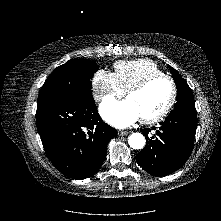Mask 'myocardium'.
Listing matches in <instances>:
<instances>
[{
  "label": "myocardium",
  "instance_id": "myocardium-1",
  "mask_svg": "<svg viewBox=\"0 0 221 221\" xmlns=\"http://www.w3.org/2000/svg\"><path fill=\"white\" fill-rule=\"evenodd\" d=\"M158 79H166L169 81L171 85V96L166 106L158 114L151 117L140 118L141 122L144 124L157 123L163 120L170 113L177 99V85L174 79L170 75L164 73L154 74L147 77L146 79H144L143 81L126 91V97L133 93H139L145 90L148 86H150L153 82H155Z\"/></svg>",
  "mask_w": 221,
  "mask_h": 221
}]
</instances>
